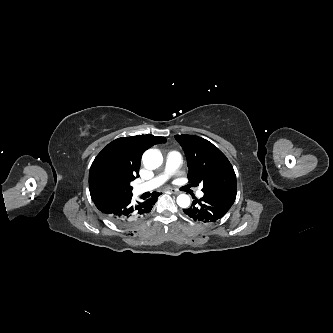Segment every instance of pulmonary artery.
<instances>
[{"label": "pulmonary artery", "instance_id": "1", "mask_svg": "<svg viewBox=\"0 0 333 333\" xmlns=\"http://www.w3.org/2000/svg\"><path fill=\"white\" fill-rule=\"evenodd\" d=\"M181 163V154L178 151H170L166 156L163 171L151 180L137 184L134 187V193L140 195L161 186L180 167ZM197 196L199 198L203 197V192L199 190Z\"/></svg>", "mask_w": 333, "mask_h": 333}]
</instances>
